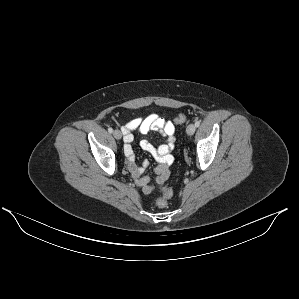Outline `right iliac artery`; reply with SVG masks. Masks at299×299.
<instances>
[{
	"label": "right iliac artery",
	"instance_id": "1",
	"mask_svg": "<svg viewBox=\"0 0 299 299\" xmlns=\"http://www.w3.org/2000/svg\"><path fill=\"white\" fill-rule=\"evenodd\" d=\"M108 132H109V133H112V132H113V129H112V128H108Z\"/></svg>",
	"mask_w": 299,
	"mask_h": 299
}]
</instances>
